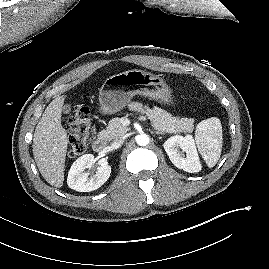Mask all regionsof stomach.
Here are the masks:
<instances>
[{"mask_svg":"<svg viewBox=\"0 0 269 269\" xmlns=\"http://www.w3.org/2000/svg\"><path fill=\"white\" fill-rule=\"evenodd\" d=\"M137 94L161 104L173 105L175 102L170 86L162 77L133 69L105 80L99 92L101 113L111 115L121 111Z\"/></svg>","mask_w":269,"mask_h":269,"instance_id":"1","label":"stomach"}]
</instances>
